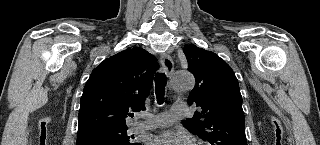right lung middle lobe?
Masks as SVG:
<instances>
[{"mask_svg": "<svg viewBox=\"0 0 320 145\" xmlns=\"http://www.w3.org/2000/svg\"><path fill=\"white\" fill-rule=\"evenodd\" d=\"M127 129V127L98 129L80 137H97L116 145H140L132 141L134 139L133 135H127Z\"/></svg>", "mask_w": 320, "mask_h": 145, "instance_id": "1", "label": "right lung middle lobe"}]
</instances>
